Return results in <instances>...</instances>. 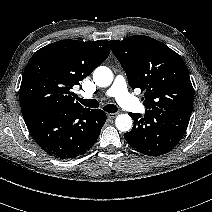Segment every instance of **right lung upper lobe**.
<instances>
[{
	"instance_id": "obj_1",
	"label": "right lung upper lobe",
	"mask_w": 212,
	"mask_h": 212,
	"mask_svg": "<svg viewBox=\"0 0 212 212\" xmlns=\"http://www.w3.org/2000/svg\"><path fill=\"white\" fill-rule=\"evenodd\" d=\"M109 53L107 40H61L35 52L25 68L21 83L23 118L52 109H84L74 101V93L70 89L91 74Z\"/></svg>"
}]
</instances>
